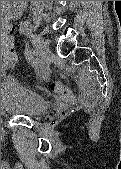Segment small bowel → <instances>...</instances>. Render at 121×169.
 <instances>
[{"label": "small bowel", "instance_id": "small-bowel-1", "mask_svg": "<svg viewBox=\"0 0 121 169\" xmlns=\"http://www.w3.org/2000/svg\"><path fill=\"white\" fill-rule=\"evenodd\" d=\"M24 5L25 1H13L8 6H4L1 16V43L7 39L14 46V38L11 34L10 21L17 19L21 15Z\"/></svg>", "mask_w": 121, "mask_h": 169}]
</instances>
